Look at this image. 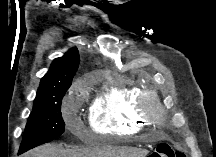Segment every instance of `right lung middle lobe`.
Wrapping results in <instances>:
<instances>
[{"label": "right lung middle lobe", "instance_id": "1", "mask_svg": "<svg viewBox=\"0 0 216 157\" xmlns=\"http://www.w3.org/2000/svg\"><path fill=\"white\" fill-rule=\"evenodd\" d=\"M69 87L33 105L23 134L19 153L26 152L38 145L47 143L65 130L61 116V101Z\"/></svg>", "mask_w": 216, "mask_h": 157}]
</instances>
